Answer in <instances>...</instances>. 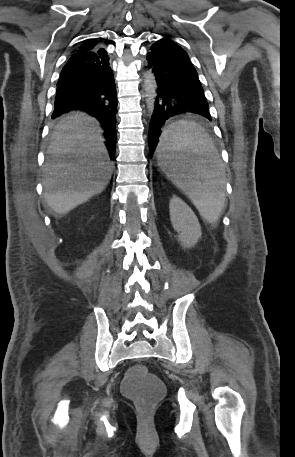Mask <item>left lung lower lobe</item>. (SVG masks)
I'll list each match as a JSON object with an SVG mask.
<instances>
[{"mask_svg":"<svg viewBox=\"0 0 295 457\" xmlns=\"http://www.w3.org/2000/svg\"><path fill=\"white\" fill-rule=\"evenodd\" d=\"M147 61L158 86L148 135L152 157L160 142L163 132L161 128L167 119L179 114L194 113L211 121V116L197 71L184 49L177 43L162 38L150 47Z\"/></svg>","mask_w":295,"mask_h":457,"instance_id":"left-lung-lower-lobe-1","label":"left lung lower lobe"}]
</instances>
